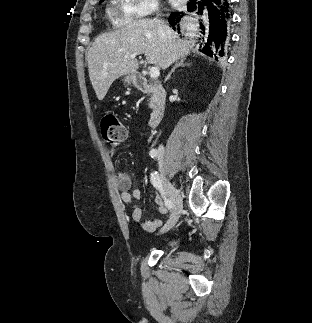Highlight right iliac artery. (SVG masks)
Here are the masks:
<instances>
[{"instance_id":"82829eb1","label":"right iliac artery","mask_w":312,"mask_h":323,"mask_svg":"<svg viewBox=\"0 0 312 323\" xmlns=\"http://www.w3.org/2000/svg\"><path fill=\"white\" fill-rule=\"evenodd\" d=\"M150 155H151L152 158H155V157L158 156V152L157 151H151ZM150 181L153 184V186L160 191L167 208H169V209L173 208V203H172V201L170 199H168L166 197V193H165V190L163 189L162 181H161V179H160V177H159V175H158V173L156 171L151 173Z\"/></svg>"}]
</instances>
